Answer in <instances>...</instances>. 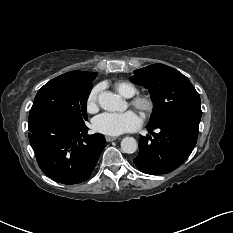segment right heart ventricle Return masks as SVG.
I'll use <instances>...</instances> for the list:
<instances>
[{"mask_svg":"<svg viewBox=\"0 0 233 233\" xmlns=\"http://www.w3.org/2000/svg\"><path fill=\"white\" fill-rule=\"evenodd\" d=\"M115 90L123 97L130 98L137 92L136 86L129 82H118L114 86Z\"/></svg>","mask_w":233,"mask_h":233,"instance_id":"right-heart-ventricle-1","label":"right heart ventricle"}]
</instances>
